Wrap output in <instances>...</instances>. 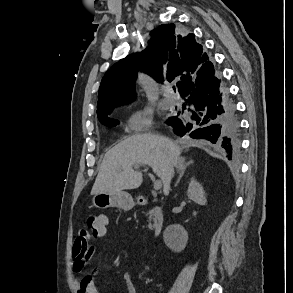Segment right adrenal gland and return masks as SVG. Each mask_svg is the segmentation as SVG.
<instances>
[{"label": "right adrenal gland", "instance_id": "2a0ac1e0", "mask_svg": "<svg viewBox=\"0 0 293 293\" xmlns=\"http://www.w3.org/2000/svg\"><path fill=\"white\" fill-rule=\"evenodd\" d=\"M193 163V160H190L189 162H185L184 159H182V161L179 163V165L177 166V170L179 172V177L176 181L175 187L178 185V183L180 182L181 178L184 176L185 174V170L187 169V167Z\"/></svg>", "mask_w": 293, "mask_h": 293}]
</instances>
